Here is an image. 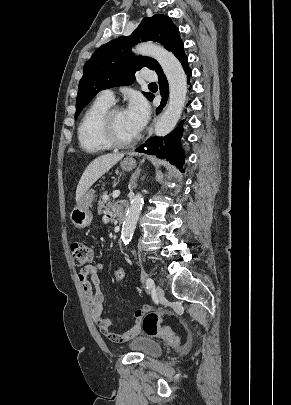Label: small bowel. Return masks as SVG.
Returning a JSON list of instances; mask_svg holds the SVG:
<instances>
[{"label":"small bowel","mask_w":291,"mask_h":405,"mask_svg":"<svg viewBox=\"0 0 291 405\" xmlns=\"http://www.w3.org/2000/svg\"><path fill=\"white\" fill-rule=\"evenodd\" d=\"M111 216L112 215L110 213L106 214L105 220H109ZM102 270V264L96 263L87 265L81 269L78 275L79 281L88 302L91 317L95 325L110 342L125 343L133 339L141 331L142 318L147 312L150 311V307L145 305L134 313V324L129 330L121 334L110 331L109 327L111 325V318L103 317L102 315L104 294L100 288L99 278V274L102 272Z\"/></svg>","instance_id":"1"}]
</instances>
